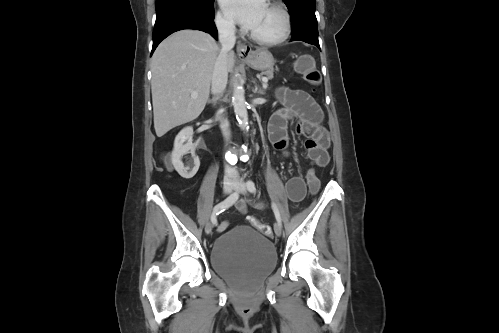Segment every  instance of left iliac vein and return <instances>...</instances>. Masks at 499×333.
<instances>
[{
	"label": "left iliac vein",
	"mask_w": 499,
	"mask_h": 333,
	"mask_svg": "<svg viewBox=\"0 0 499 333\" xmlns=\"http://www.w3.org/2000/svg\"><path fill=\"white\" fill-rule=\"evenodd\" d=\"M234 189H235V191H237L241 194H246V185L241 179H238L234 183ZM274 232H275L276 236H278V237H280L282 234V228L278 223H276L274 225Z\"/></svg>",
	"instance_id": "1"
}]
</instances>
